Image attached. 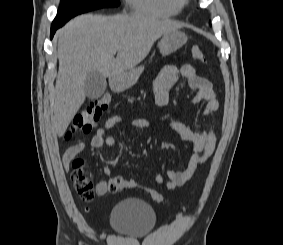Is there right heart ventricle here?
Segmentation results:
<instances>
[{"mask_svg":"<svg viewBox=\"0 0 283 245\" xmlns=\"http://www.w3.org/2000/svg\"><path fill=\"white\" fill-rule=\"evenodd\" d=\"M130 10L139 14L158 17H174L178 15L185 0H125Z\"/></svg>","mask_w":283,"mask_h":245,"instance_id":"obj_1","label":"right heart ventricle"}]
</instances>
